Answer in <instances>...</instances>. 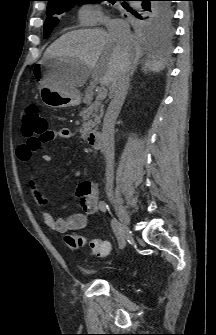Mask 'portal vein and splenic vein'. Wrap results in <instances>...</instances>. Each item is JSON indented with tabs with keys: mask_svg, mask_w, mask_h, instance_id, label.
I'll use <instances>...</instances> for the list:
<instances>
[{
	"mask_svg": "<svg viewBox=\"0 0 216 335\" xmlns=\"http://www.w3.org/2000/svg\"><path fill=\"white\" fill-rule=\"evenodd\" d=\"M106 96H107V89H106V87H103L102 89L99 90L97 98L98 99H105Z\"/></svg>",
	"mask_w": 216,
	"mask_h": 335,
	"instance_id": "portal-vein-and-splenic-vein-1",
	"label": "portal vein and splenic vein"
}]
</instances>
